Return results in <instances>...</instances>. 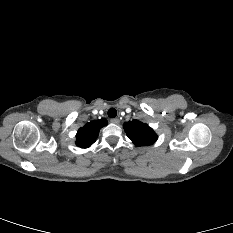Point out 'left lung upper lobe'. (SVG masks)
Returning a JSON list of instances; mask_svg holds the SVG:
<instances>
[{
    "instance_id": "left-lung-upper-lobe-1",
    "label": "left lung upper lobe",
    "mask_w": 233,
    "mask_h": 233,
    "mask_svg": "<svg viewBox=\"0 0 233 233\" xmlns=\"http://www.w3.org/2000/svg\"><path fill=\"white\" fill-rule=\"evenodd\" d=\"M124 130L136 146L151 145L158 138L152 128L138 120H132L124 123Z\"/></svg>"
}]
</instances>
